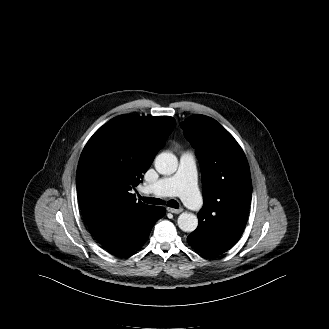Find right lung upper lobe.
I'll use <instances>...</instances> for the list:
<instances>
[{"label":"right lung upper lobe","instance_id":"1","mask_svg":"<svg viewBox=\"0 0 329 329\" xmlns=\"http://www.w3.org/2000/svg\"><path fill=\"white\" fill-rule=\"evenodd\" d=\"M176 121L169 116H117L100 127L80 156L76 186L89 226L103 216L150 207L136 202L137 186Z\"/></svg>","mask_w":329,"mask_h":329}]
</instances>
